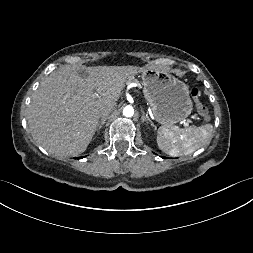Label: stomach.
<instances>
[{"label": "stomach", "mask_w": 253, "mask_h": 253, "mask_svg": "<svg viewBox=\"0 0 253 253\" xmlns=\"http://www.w3.org/2000/svg\"><path fill=\"white\" fill-rule=\"evenodd\" d=\"M144 96L162 126L185 120L193 110L189 87L170 73L153 67L141 71Z\"/></svg>", "instance_id": "1"}]
</instances>
